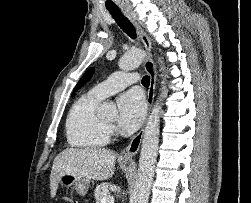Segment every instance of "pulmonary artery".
<instances>
[{
    "mask_svg": "<svg viewBox=\"0 0 251 203\" xmlns=\"http://www.w3.org/2000/svg\"><path fill=\"white\" fill-rule=\"evenodd\" d=\"M138 79L139 77L135 73L117 72L94 86L89 93L102 100L109 95L124 89L128 85L136 83Z\"/></svg>",
    "mask_w": 251,
    "mask_h": 203,
    "instance_id": "e3ab8cb5",
    "label": "pulmonary artery"
}]
</instances>
